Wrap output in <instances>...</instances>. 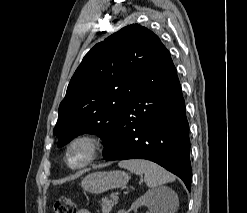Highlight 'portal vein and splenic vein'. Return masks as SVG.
<instances>
[{"mask_svg": "<svg viewBox=\"0 0 247 213\" xmlns=\"http://www.w3.org/2000/svg\"><path fill=\"white\" fill-rule=\"evenodd\" d=\"M113 199H118V194L117 193H115V194H113Z\"/></svg>", "mask_w": 247, "mask_h": 213, "instance_id": "1", "label": "portal vein and splenic vein"}]
</instances>
